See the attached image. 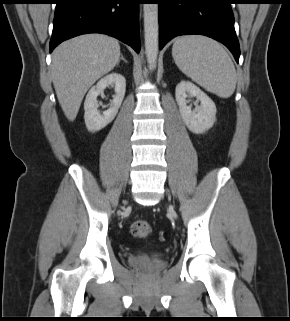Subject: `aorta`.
<instances>
[{
	"instance_id": "762f6f07",
	"label": "aorta",
	"mask_w": 290,
	"mask_h": 321,
	"mask_svg": "<svg viewBox=\"0 0 290 321\" xmlns=\"http://www.w3.org/2000/svg\"><path fill=\"white\" fill-rule=\"evenodd\" d=\"M144 39L147 63L154 69L158 56V4H144Z\"/></svg>"
}]
</instances>
